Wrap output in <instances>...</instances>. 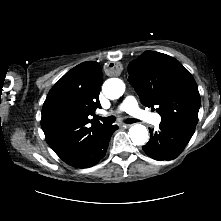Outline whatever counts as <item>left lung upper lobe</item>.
Masks as SVG:
<instances>
[{
    "mask_svg": "<svg viewBox=\"0 0 221 221\" xmlns=\"http://www.w3.org/2000/svg\"><path fill=\"white\" fill-rule=\"evenodd\" d=\"M128 81L141 102L157 107L161 122H198L200 95L188 70L175 58L146 51L130 62Z\"/></svg>",
    "mask_w": 221,
    "mask_h": 221,
    "instance_id": "1",
    "label": "left lung upper lobe"
}]
</instances>
